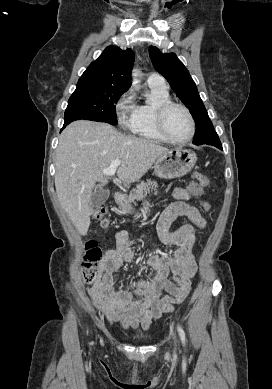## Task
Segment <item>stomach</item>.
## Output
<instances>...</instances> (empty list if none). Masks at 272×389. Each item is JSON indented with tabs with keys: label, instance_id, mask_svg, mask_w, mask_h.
Segmentation results:
<instances>
[{
	"label": "stomach",
	"instance_id": "obj_1",
	"mask_svg": "<svg viewBox=\"0 0 272 389\" xmlns=\"http://www.w3.org/2000/svg\"><path fill=\"white\" fill-rule=\"evenodd\" d=\"M197 161V156L186 149H170L157 158L154 165L155 174L163 179L179 178L189 173ZM121 210L125 213H133L131 202L122 197L118 201Z\"/></svg>",
	"mask_w": 272,
	"mask_h": 389
}]
</instances>
